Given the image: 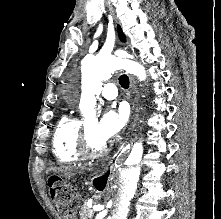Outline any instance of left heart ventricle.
Masks as SVG:
<instances>
[{
    "instance_id": "1",
    "label": "left heart ventricle",
    "mask_w": 221,
    "mask_h": 219,
    "mask_svg": "<svg viewBox=\"0 0 221 219\" xmlns=\"http://www.w3.org/2000/svg\"><path fill=\"white\" fill-rule=\"evenodd\" d=\"M89 143L93 148H99L104 144V141L98 138L96 135V122L89 121L87 124Z\"/></svg>"
}]
</instances>
